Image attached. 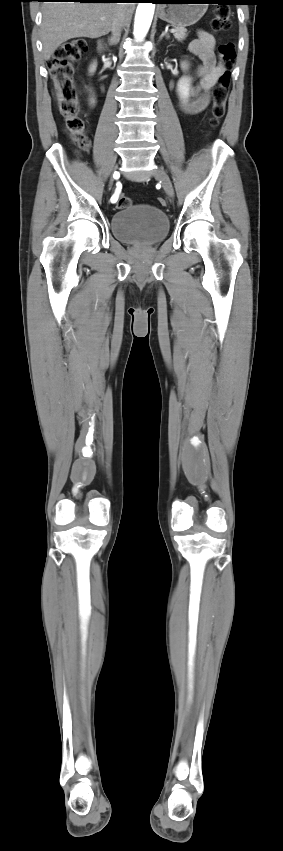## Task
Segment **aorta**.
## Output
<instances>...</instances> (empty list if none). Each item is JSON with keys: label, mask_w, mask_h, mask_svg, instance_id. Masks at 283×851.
Segmentation results:
<instances>
[{"label": "aorta", "mask_w": 283, "mask_h": 851, "mask_svg": "<svg viewBox=\"0 0 283 851\" xmlns=\"http://www.w3.org/2000/svg\"><path fill=\"white\" fill-rule=\"evenodd\" d=\"M155 5L153 3H139L136 9L134 22V36L136 39H143L150 28Z\"/></svg>", "instance_id": "762f6f07"}]
</instances>
